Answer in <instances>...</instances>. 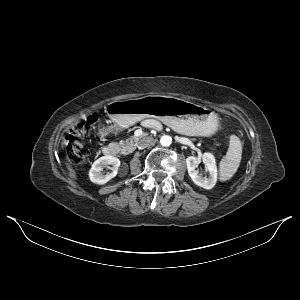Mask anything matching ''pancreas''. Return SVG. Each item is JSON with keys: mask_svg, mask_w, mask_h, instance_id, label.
<instances>
[{"mask_svg": "<svg viewBox=\"0 0 300 300\" xmlns=\"http://www.w3.org/2000/svg\"><path fill=\"white\" fill-rule=\"evenodd\" d=\"M139 137L131 136L130 138L126 139L125 141L121 140L116 145L119 147L122 154L131 153L136 144H138Z\"/></svg>", "mask_w": 300, "mask_h": 300, "instance_id": "1", "label": "pancreas"}]
</instances>
